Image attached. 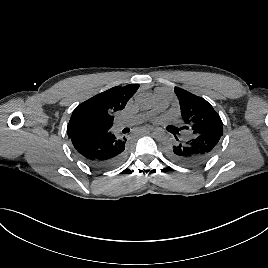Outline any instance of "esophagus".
<instances>
[{"label":"esophagus","instance_id":"1","mask_svg":"<svg viewBox=\"0 0 268 268\" xmlns=\"http://www.w3.org/2000/svg\"><path fill=\"white\" fill-rule=\"evenodd\" d=\"M152 131H153L152 129L147 131V136H152Z\"/></svg>","mask_w":268,"mask_h":268}]
</instances>
